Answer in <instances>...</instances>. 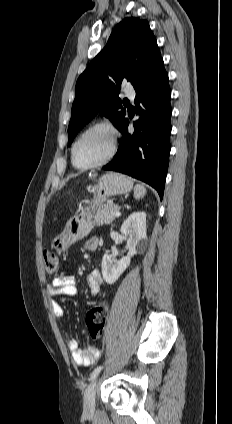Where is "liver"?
<instances>
[{
  "label": "liver",
  "mask_w": 232,
  "mask_h": 424,
  "mask_svg": "<svg viewBox=\"0 0 232 424\" xmlns=\"http://www.w3.org/2000/svg\"><path fill=\"white\" fill-rule=\"evenodd\" d=\"M97 176V173H91V174H89V178H95Z\"/></svg>",
  "instance_id": "liver-1"
}]
</instances>
